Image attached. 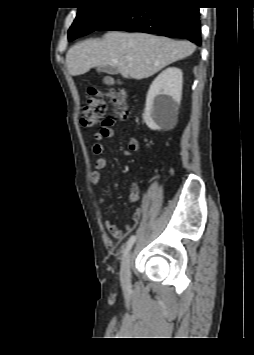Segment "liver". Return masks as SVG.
Masks as SVG:
<instances>
[{
	"instance_id": "1",
	"label": "liver",
	"mask_w": 254,
	"mask_h": 355,
	"mask_svg": "<svg viewBox=\"0 0 254 355\" xmlns=\"http://www.w3.org/2000/svg\"><path fill=\"white\" fill-rule=\"evenodd\" d=\"M196 46L145 33L112 31L102 39H87L66 54V66L72 76L85 74L99 66L116 67L123 78H148L167 65L190 56Z\"/></svg>"
}]
</instances>
